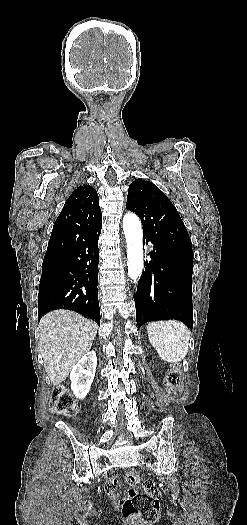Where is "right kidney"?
I'll list each match as a JSON object with an SVG mask.
<instances>
[{"label":"right kidney","instance_id":"right-kidney-1","mask_svg":"<svg viewBox=\"0 0 247 525\" xmlns=\"http://www.w3.org/2000/svg\"><path fill=\"white\" fill-rule=\"evenodd\" d=\"M97 367V357L95 351L86 353L79 363L73 367L70 373L71 391L77 399H85L91 389L95 371Z\"/></svg>","mask_w":247,"mask_h":525}]
</instances>
